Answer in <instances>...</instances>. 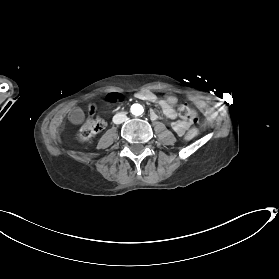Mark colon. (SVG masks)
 <instances>
[{
  "instance_id": "obj_1",
  "label": "colon",
  "mask_w": 279,
  "mask_h": 279,
  "mask_svg": "<svg viewBox=\"0 0 279 279\" xmlns=\"http://www.w3.org/2000/svg\"><path fill=\"white\" fill-rule=\"evenodd\" d=\"M123 95L119 93H112L106 97L108 103H117L123 101ZM179 115L182 119L195 124L197 122V113L194 109L186 104H182L178 109ZM104 128V121L101 117L96 116L86 121L78 130L77 138L81 141H86L96 134H98ZM198 135V130L192 128L187 134L186 139L192 140Z\"/></svg>"
}]
</instances>
